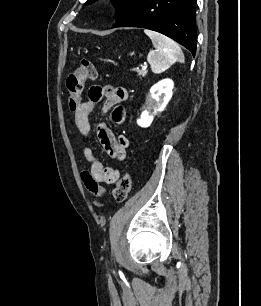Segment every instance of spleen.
Masks as SVG:
<instances>
[{"label":"spleen","mask_w":261,"mask_h":306,"mask_svg":"<svg viewBox=\"0 0 261 306\" xmlns=\"http://www.w3.org/2000/svg\"><path fill=\"white\" fill-rule=\"evenodd\" d=\"M144 32L155 48L147 57L153 73H162L176 62L184 63L183 52L175 41L156 31L145 29Z\"/></svg>","instance_id":"obj_1"}]
</instances>
